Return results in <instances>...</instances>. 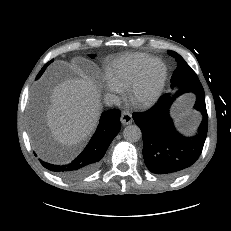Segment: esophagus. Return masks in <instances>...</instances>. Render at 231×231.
Wrapping results in <instances>:
<instances>
[{
	"mask_svg": "<svg viewBox=\"0 0 231 231\" xmlns=\"http://www.w3.org/2000/svg\"><path fill=\"white\" fill-rule=\"evenodd\" d=\"M120 121L123 125H129L130 123H132L133 118L131 113H129L128 111H123Z\"/></svg>",
	"mask_w": 231,
	"mask_h": 231,
	"instance_id": "obj_1",
	"label": "esophagus"
}]
</instances>
